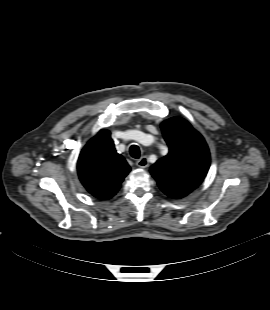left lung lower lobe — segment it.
Instances as JSON below:
<instances>
[{
  "instance_id": "0a47b994",
  "label": "left lung lower lobe",
  "mask_w": 270,
  "mask_h": 310,
  "mask_svg": "<svg viewBox=\"0 0 270 310\" xmlns=\"http://www.w3.org/2000/svg\"><path fill=\"white\" fill-rule=\"evenodd\" d=\"M166 195L170 196L171 198L179 199L187 196L190 192L182 191V190H169L163 189L162 190Z\"/></svg>"
}]
</instances>
